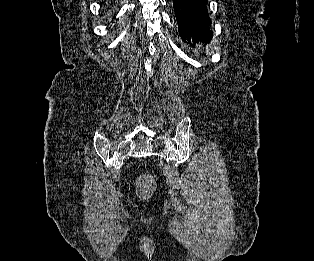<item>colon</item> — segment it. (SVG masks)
<instances>
[{
	"mask_svg": "<svg viewBox=\"0 0 314 261\" xmlns=\"http://www.w3.org/2000/svg\"><path fill=\"white\" fill-rule=\"evenodd\" d=\"M155 190V182L151 176L142 174L137 180V191L141 198L149 199Z\"/></svg>",
	"mask_w": 314,
	"mask_h": 261,
	"instance_id": "obj_1",
	"label": "colon"
}]
</instances>
